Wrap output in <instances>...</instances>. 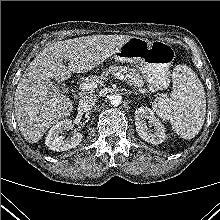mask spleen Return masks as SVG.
<instances>
[{"instance_id":"obj_1","label":"spleen","mask_w":220,"mask_h":220,"mask_svg":"<svg viewBox=\"0 0 220 220\" xmlns=\"http://www.w3.org/2000/svg\"><path fill=\"white\" fill-rule=\"evenodd\" d=\"M153 109L184 139L194 138L201 130L206 115L203 85L195 72L186 65L173 70V89L170 97H159Z\"/></svg>"}]
</instances>
